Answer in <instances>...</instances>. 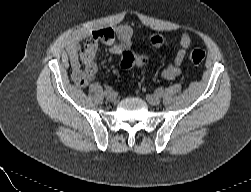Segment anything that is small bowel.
<instances>
[{
	"mask_svg": "<svg viewBox=\"0 0 251 192\" xmlns=\"http://www.w3.org/2000/svg\"><path fill=\"white\" fill-rule=\"evenodd\" d=\"M99 43L108 45L112 54L121 55L131 46V29L125 25L119 26L116 29H98L92 33L81 49H79V43L75 40L68 44L72 79L80 87L87 86L96 76L97 65L95 56ZM190 44V36L184 33L180 39V48L177 50L173 61L162 71V77L172 80L181 73V65ZM81 63L84 64V69Z\"/></svg>",
	"mask_w": 251,
	"mask_h": 192,
	"instance_id": "obj_1",
	"label": "small bowel"
}]
</instances>
